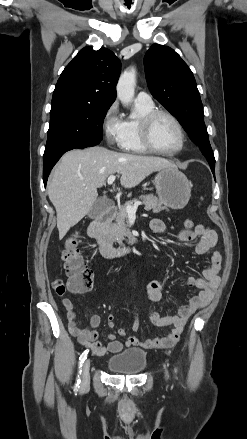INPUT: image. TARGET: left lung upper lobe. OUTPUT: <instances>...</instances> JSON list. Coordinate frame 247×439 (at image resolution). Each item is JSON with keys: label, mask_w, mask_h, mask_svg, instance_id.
<instances>
[{"label": "left lung upper lobe", "mask_w": 247, "mask_h": 439, "mask_svg": "<svg viewBox=\"0 0 247 439\" xmlns=\"http://www.w3.org/2000/svg\"><path fill=\"white\" fill-rule=\"evenodd\" d=\"M148 88L184 127L211 167L215 158L204 123V112L192 71L170 47L154 44L144 57Z\"/></svg>", "instance_id": "5c2ea615"}]
</instances>
